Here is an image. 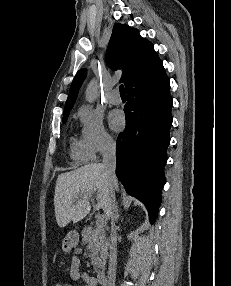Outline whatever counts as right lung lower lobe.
<instances>
[{
    "label": "right lung lower lobe",
    "instance_id": "1",
    "mask_svg": "<svg viewBox=\"0 0 231 286\" xmlns=\"http://www.w3.org/2000/svg\"><path fill=\"white\" fill-rule=\"evenodd\" d=\"M126 92V128L116 142V175L126 192L145 204L154 223L170 142V81L164 69L158 70L131 82Z\"/></svg>",
    "mask_w": 231,
    "mask_h": 286
}]
</instances>
